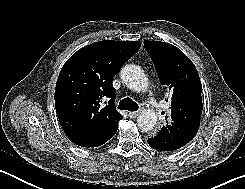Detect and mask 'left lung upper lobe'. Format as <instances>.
Segmentation results:
<instances>
[{
	"label": "left lung upper lobe",
	"mask_w": 245,
	"mask_h": 189,
	"mask_svg": "<svg viewBox=\"0 0 245 189\" xmlns=\"http://www.w3.org/2000/svg\"><path fill=\"white\" fill-rule=\"evenodd\" d=\"M160 83L172 91L170 116L156 136L177 150L196 135L202 114V85L195 65L172 44L144 41Z\"/></svg>",
	"instance_id": "1"
}]
</instances>
